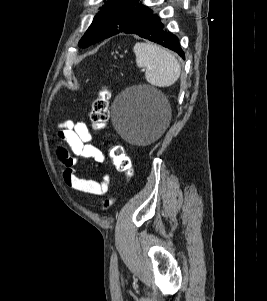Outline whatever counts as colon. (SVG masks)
<instances>
[{"label":"colon","instance_id":"colon-1","mask_svg":"<svg viewBox=\"0 0 267 301\" xmlns=\"http://www.w3.org/2000/svg\"><path fill=\"white\" fill-rule=\"evenodd\" d=\"M109 95L110 93L107 87H103L92 103L90 120L92 127L95 130H102L107 125L110 116L108 106ZM109 156L118 171L124 173L128 178L133 175V165L131 159L123 147L119 145L110 146ZM112 203L113 201L108 199L104 201L103 206L104 208H109Z\"/></svg>","mask_w":267,"mask_h":301}]
</instances>
